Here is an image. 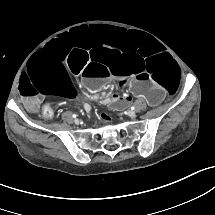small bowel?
Wrapping results in <instances>:
<instances>
[{"instance_id": "1", "label": "small bowel", "mask_w": 215, "mask_h": 215, "mask_svg": "<svg viewBox=\"0 0 215 215\" xmlns=\"http://www.w3.org/2000/svg\"><path fill=\"white\" fill-rule=\"evenodd\" d=\"M112 99L115 101V102H118V104L120 106H124L127 102H128V98L125 99V98H122L120 95L118 94H113L112 95ZM40 102V98H33L29 101L28 103V108L32 111H35L37 108H38V104Z\"/></svg>"}]
</instances>
